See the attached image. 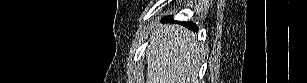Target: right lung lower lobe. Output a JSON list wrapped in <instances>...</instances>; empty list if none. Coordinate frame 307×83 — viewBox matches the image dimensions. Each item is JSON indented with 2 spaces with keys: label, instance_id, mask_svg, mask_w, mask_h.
Instances as JSON below:
<instances>
[{
  "label": "right lung lower lobe",
  "instance_id": "right-lung-lower-lobe-1",
  "mask_svg": "<svg viewBox=\"0 0 307 83\" xmlns=\"http://www.w3.org/2000/svg\"><path fill=\"white\" fill-rule=\"evenodd\" d=\"M169 19L172 20V17L170 16V17L166 18L167 21H169ZM183 25H185L186 27H188V28H190L192 30L197 31V26L194 23H192V22H184Z\"/></svg>",
  "mask_w": 307,
  "mask_h": 83
}]
</instances>
